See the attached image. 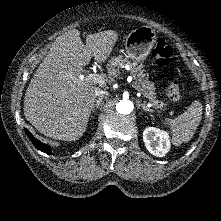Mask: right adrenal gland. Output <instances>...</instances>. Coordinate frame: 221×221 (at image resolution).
<instances>
[{
  "label": "right adrenal gland",
  "instance_id": "obj_1",
  "mask_svg": "<svg viewBox=\"0 0 221 221\" xmlns=\"http://www.w3.org/2000/svg\"><path fill=\"white\" fill-rule=\"evenodd\" d=\"M102 99H103V97H100L99 99L96 100V103L94 104V107H93V110H92L93 113H95V114L97 113V110L100 106V103H101Z\"/></svg>",
  "mask_w": 221,
  "mask_h": 221
}]
</instances>
